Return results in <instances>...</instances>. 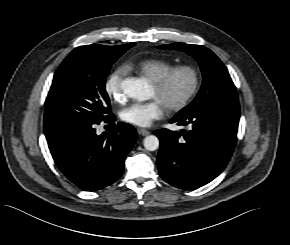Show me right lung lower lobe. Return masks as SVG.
<instances>
[{"label": "right lung lower lobe", "instance_id": "right-lung-lower-lobe-1", "mask_svg": "<svg viewBox=\"0 0 290 245\" xmlns=\"http://www.w3.org/2000/svg\"><path fill=\"white\" fill-rule=\"evenodd\" d=\"M103 121L114 123V115L110 113ZM100 122L44 127L57 167L83 190H99L118 180L125 157L137 139L134 127L122 122L113 124L109 132L97 135L95 127Z\"/></svg>", "mask_w": 290, "mask_h": 245}]
</instances>
